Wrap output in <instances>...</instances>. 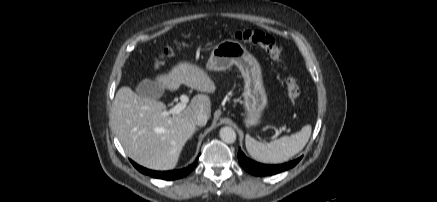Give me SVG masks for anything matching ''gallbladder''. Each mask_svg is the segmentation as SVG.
Wrapping results in <instances>:
<instances>
[{
	"instance_id": "bac80fb5",
	"label": "gallbladder",
	"mask_w": 437,
	"mask_h": 202,
	"mask_svg": "<svg viewBox=\"0 0 437 202\" xmlns=\"http://www.w3.org/2000/svg\"><path fill=\"white\" fill-rule=\"evenodd\" d=\"M136 92L142 97L158 99L162 96L164 88L153 80L144 79L136 87Z\"/></svg>"
}]
</instances>
